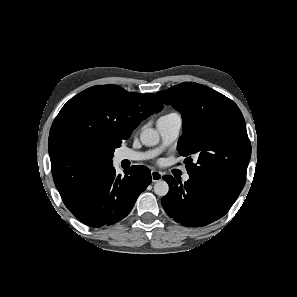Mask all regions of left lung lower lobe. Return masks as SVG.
<instances>
[{"label":"left lung lower lobe","mask_w":297,"mask_h":297,"mask_svg":"<svg viewBox=\"0 0 297 297\" xmlns=\"http://www.w3.org/2000/svg\"><path fill=\"white\" fill-rule=\"evenodd\" d=\"M169 192L162 200L166 213L183 226L208 225L223 217L234 200L212 187L190 178L184 184L170 175L163 176Z\"/></svg>","instance_id":"1"}]
</instances>
